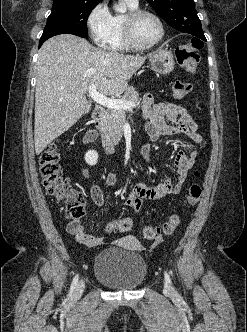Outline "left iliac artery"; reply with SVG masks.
I'll list each match as a JSON object with an SVG mask.
<instances>
[{"label": "left iliac artery", "mask_w": 247, "mask_h": 332, "mask_svg": "<svg viewBox=\"0 0 247 332\" xmlns=\"http://www.w3.org/2000/svg\"><path fill=\"white\" fill-rule=\"evenodd\" d=\"M164 275H165V280H166V282L169 283V284H172V283H171L170 275L168 274L167 271H165V274H164Z\"/></svg>", "instance_id": "44dca946"}]
</instances>
